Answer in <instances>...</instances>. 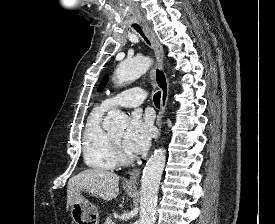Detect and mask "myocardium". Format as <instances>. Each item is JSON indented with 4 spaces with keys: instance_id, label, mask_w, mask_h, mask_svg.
<instances>
[{
    "instance_id": "obj_1",
    "label": "myocardium",
    "mask_w": 275,
    "mask_h": 224,
    "mask_svg": "<svg viewBox=\"0 0 275 224\" xmlns=\"http://www.w3.org/2000/svg\"><path fill=\"white\" fill-rule=\"evenodd\" d=\"M108 139L117 164H130L133 161V157L124 152L121 145L110 134H108Z\"/></svg>"
}]
</instances>
